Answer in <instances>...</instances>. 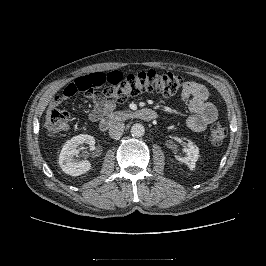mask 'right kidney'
<instances>
[{
	"instance_id": "right-kidney-1",
	"label": "right kidney",
	"mask_w": 266,
	"mask_h": 266,
	"mask_svg": "<svg viewBox=\"0 0 266 266\" xmlns=\"http://www.w3.org/2000/svg\"><path fill=\"white\" fill-rule=\"evenodd\" d=\"M87 144L92 149L95 139L91 135L80 134L68 140L59 155V165L62 171L71 176H79L90 170L91 164L87 160L75 161L74 156L78 153L80 144Z\"/></svg>"
}]
</instances>
